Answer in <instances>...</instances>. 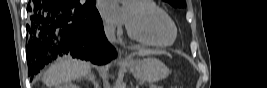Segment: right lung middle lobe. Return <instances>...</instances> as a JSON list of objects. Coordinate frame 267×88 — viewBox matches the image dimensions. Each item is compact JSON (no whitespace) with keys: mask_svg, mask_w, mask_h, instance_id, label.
Returning <instances> with one entry per match:
<instances>
[{"mask_svg":"<svg viewBox=\"0 0 267 88\" xmlns=\"http://www.w3.org/2000/svg\"><path fill=\"white\" fill-rule=\"evenodd\" d=\"M77 5H81L79 3V0H73ZM95 3H96V0H86L85 4L84 5H87V6H95Z\"/></svg>","mask_w":267,"mask_h":88,"instance_id":"1","label":"right lung middle lobe"}]
</instances>
